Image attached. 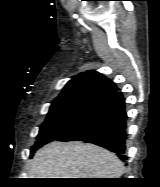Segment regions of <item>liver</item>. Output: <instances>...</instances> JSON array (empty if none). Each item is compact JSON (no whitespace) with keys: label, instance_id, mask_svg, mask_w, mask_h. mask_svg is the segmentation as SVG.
<instances>
[{"label":"liver","instance_id":"obj_1","mask_svg":"<svg viewBox=\"0 0 160 187\" xmlns=\"http://www.w3.org/2000/svg\"><path fill=\"white\" fill-rule=\"evenodd\" d=\"M124 166L112 152L82 142H51L39 149L30 178H119Z\"/></svg>","mask_w":160,"mask_h":187}]
</instances>
